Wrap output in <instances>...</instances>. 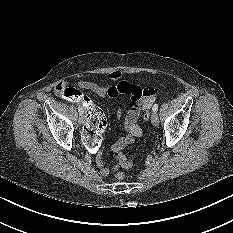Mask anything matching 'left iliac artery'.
I'll return each instance as SVG.
<instances>
[{
    "instance_id": "obj_1",
    "label": "left iliac artery",
    "mask_w": 233,
    "mask_h": 233,
    "mask_svg": "<svg viewBox=\"0 0 233 233\" xmlns=\"http://www.w3.org/2000/svg\"><path fill=\"white\" fill-rule=\"evenodd\" d=\"M152 110H153V112H156L158 110V104H154Z\"/></svg>"
}]
</instances>
